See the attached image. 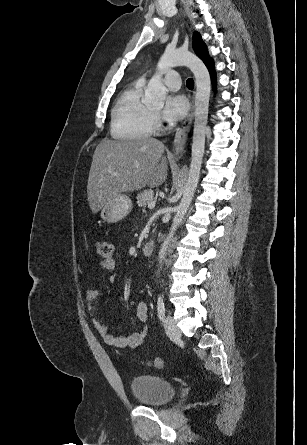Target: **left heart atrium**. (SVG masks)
<instances>
[{"label":"left heart atrium","mask_w":307,"mask_h":445,"mask_svg":"<svg viewBox=\"0 0 307 445\" xmlns=\"http://www.w3.org/2000/svg\"><path fill=\"white\" fill-rule=\"evenodd\" d=\"M188 108V102L183 95L169 91L164 100L163 116L168 121L176 122L187 114Z\"/></svg>","instance_id":"left-heart-atrium-1"}]
</instances>
